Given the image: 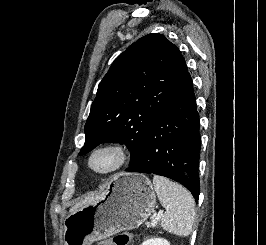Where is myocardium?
Segmentation results:
<instances>
[{"label": "myocardium", "instance_id": "1", "mask_svg": "<svg viewBox=\"0 0 266 245\" xmlns=\"http://www.w3.org/2000/svg\"><path fill=\"white\" fill-rule=\"evenodd\" d=\"M105 150H112L117 155V161L115 165L109 170L101 171L93 167V158L100 152ZM130 159V153L128 148L120 142H106L94 147L86 158V168L89 173L96 177L106 178L115 175L126 167Z\"/></svg>", "mask_w": 266, "mask_h": 245}]
</instances>
